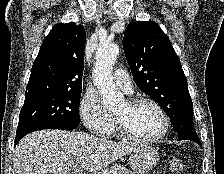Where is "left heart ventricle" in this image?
<instances>
[{"instance_id":"1","label":"left heart ventricle","mask_w":224,"mask_h":174,"mask_svg":"<svg viewBox=\"0 0 224 174\" xmlns=\"http://www.w3.org/2000/svg\"><path fill=\"white\" fill-rule=\"evenodd\" d=\"M115 115L124 122L131 132L139 136H154L163 127L161 115L152 105L147 103L129 107L127 102H124L117 108Z\"/></svg>"}]
</instances>
